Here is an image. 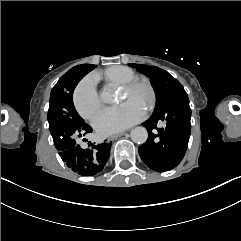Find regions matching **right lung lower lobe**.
Segmentation results:
<instances>
[{
  "label": "right lung lower lobe",
  "mask_w": 241,
  "mask_h": 241,
  "mask_svg": "<svg viewBox=\"0 0 241 241\" xmlns=\"http://www.w3.org/2000/svg\"><path fill=\"white\" fill-rule=\"evenodd\" d=\"M91 70H93L92 65L82 64L73 81L74 86L76 87L78 82ZM91 132L92 128L85 123L75 135L81 137L82 134ZM74 137V135L63 134L55 144L61 159L69 168L82 176L100 173L108 161L111 143L91 144V148L83 149L76 143Z\"/></svg>",
  "instance_id": "obj_1"
}]
</instances>
